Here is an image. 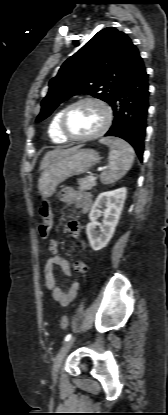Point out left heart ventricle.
Wrapping results in <instances>:
<instances>
[{
    "label": "left heart ventricle",
    "instance_id": "obj_1",
    "mask_svg": "<svg viewBox=\"0 0 168 415\" xmlns=\"http://www.w3.org/2000/svg\"><path fill=\"white\" fill-rule=\"evenodd\" d=\"M104 122L102 108L91 102L75 106L68 114L67 128L75 136H86L98 131Z\"/></svg>",
    "mask_w": 168,
    "mask_h": 415
}]
</instances>
